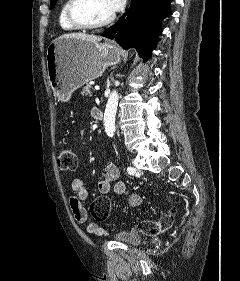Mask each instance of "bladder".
I'll use <instances>...</instances> for the list:
<instances>
[{
    "mask_svg": "<svg viewBox=\"0 0 240 281\" xmlns=\"http://www.w3.org/2000/svg\"><path fill=\"white\" fill-rule=\"evenodd\" d=\"M114 239L130 246H138L142 243L144 235L134 231H122L115 235Z\"/></svg>",
    "mask_w": 240,
    "mask_h": 281,
    "instance_id": "bladder-1",
    "label": "bladder"
}]
</instances>
